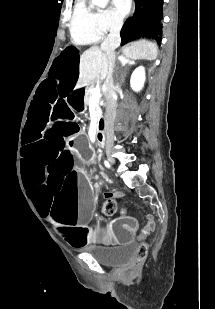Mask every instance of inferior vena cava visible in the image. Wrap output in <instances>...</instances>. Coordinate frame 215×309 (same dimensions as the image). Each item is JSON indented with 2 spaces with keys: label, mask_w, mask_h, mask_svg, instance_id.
Listing matches in <instances>:
<instances>
[{
  "label": "inferior vena cava",
  "mask_w": 215,
  "mask_h": 309,
  "mask_svg": "<svg viewBox=\"0 0 215 309\" xmlns=\"http://www.w3.org/2000/svg\"><path fill=\"white\" fill-rule=\"evenodd\" d=\"M123 26L122 16L118 18H112L110 32L106 38H104L101 44V50H105L107 54L108 62V72L105 78L106 90L104 92L106 98V114H105V134H106V144H113L114 140V130L113 124L116 116L117 108V94L113 78V70L115 66V48L119 46L121 42L120 30Z\"/></svg>",
  "instance_id": "1"
}]
</instances>
